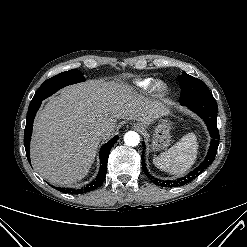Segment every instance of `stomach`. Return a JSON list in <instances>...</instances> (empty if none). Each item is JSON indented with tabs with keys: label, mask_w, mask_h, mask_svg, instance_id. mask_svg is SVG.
Listing matches in <instances>:
<instances>
[{
	"label": "stomach",
	"mask_w": 247,
	"mask_h": 247,
	"mask_svg": "<svg viewBox=\"0 0 247 247\" xmlns=\"http://www.w3.org/2000/svg\"><path fill=\"white\" fill-rule=\"evenodd\" d=\"M138 125V124H137ZM171 123L166 119H161L160 123L154 128L151 139V148L154 151L165 149L171 142Z\"/></svg>",
	"instance_id": "stomach-1"
}]
</instances>
